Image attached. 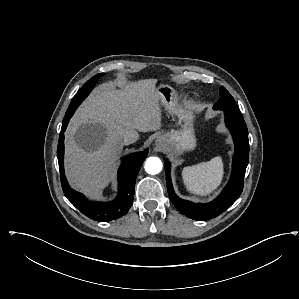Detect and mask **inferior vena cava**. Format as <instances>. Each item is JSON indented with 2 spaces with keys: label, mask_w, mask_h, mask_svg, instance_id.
Instances as JSON below:
<instances>
[{
  "label": "inferior vena cava",
  "mask_w": 299,
  "mask_h": 299,
  "mask_svg": "<svg viewBox=\"0 0 299 299\" xmlns=\"http://www.w3.org/2000/svg\"><path fill=\"white\" fill-rule=\"evenodd\" d=\"M139 138V134L136 131L130 130L124 136L123 143L124 145H129L136 142Z\"/></svg>",
  "instance_id": "obj_1"
}]
</instances>
